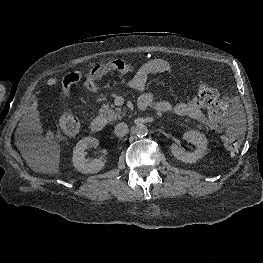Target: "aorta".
<instances>
[{
  "label": "aorta",
  "instance_id": "aorta-1",
  "mask_svg": "<svg viewBox=\"0 0 263 263\" xmlns=\"http://www.w3.org/2000/svg\"><path fill=\"white\" fill-rule=\"evenodd\" d=\"M134 133L138 137H144L148 134V128L144 124H138L134 129Z\"/></svg>",
  "mask_w": 263,
  "mask_h": 263
}]
</instances>
